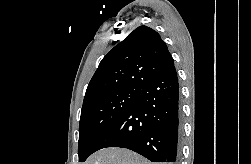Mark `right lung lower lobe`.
I'll return each instance as SVG.
<instances>
[{"label": "right lung lower lobe", "instance_id": "obj_1", "mask_svg": "<svg viewBox=\"0 0 251 164\" xmlns=\"http://www.w3.org/2000/svg\"><path fill=\"white\" fill-rule=\"evenodd\" d=\"M181 134L179 84L173 65L139 88L136 101L98 141L93 153L121 147L152 162H175Z\"/></svg>", "mask_w": 251, "mask_h": 164}]
</instances>
